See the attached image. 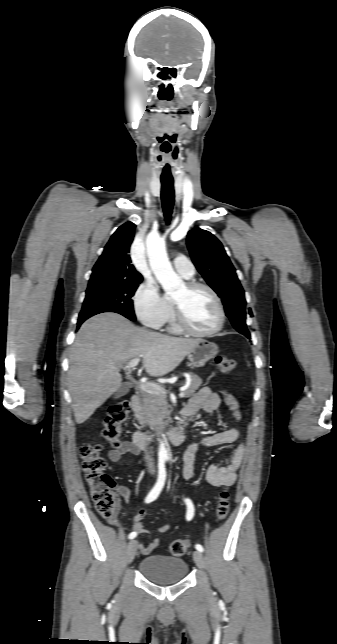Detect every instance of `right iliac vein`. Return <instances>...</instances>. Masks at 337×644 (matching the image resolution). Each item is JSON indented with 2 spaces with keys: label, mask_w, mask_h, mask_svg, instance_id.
Here are the masks:
<instances>
[{
  "label": "right iliac vein",
  "mask_w": 337,
  "mask_h": 644,
  "mask_svg": "<svg viewBox=\"0 0 337 644\" xmlns=\"http://www.w3.org/2000/svg\"><path fill=\"white\" fill-rule=\"evenodd\" d=\"M137 548H138L137 540H132L128 543L127 551H126V562L128 564H130L133 561L137 552Z\"/></svg>",
  "instance_id": "obj_1"
}]
</instances>
